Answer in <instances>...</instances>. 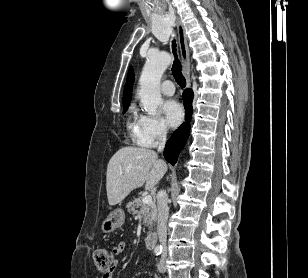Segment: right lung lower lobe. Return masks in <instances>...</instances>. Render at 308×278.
<instances>
[{
    "instance_id": "1",
    "label": "right lung lower lobe",
    "mask_w": 308,
    "mask_h": 278,
    "mask_svg": "<svg viewBox=\"0 0 308 278\" xmlns=\"http://www.w3.org/2000/svg\"><path fill=\"white\" fill-rule=\"evenodd\" d=\"M183 96L186 109L185 118L186 121L189 122L192 114L193 92L190 89H187L184 91ZM189 132L190 125L188 123H184L179 127L178 130L174 132V134L167 141L164 150V157L172 165L176 163L178 155L184 147L186 140L188 139Z\"/></svg>"
}]
</instances>
